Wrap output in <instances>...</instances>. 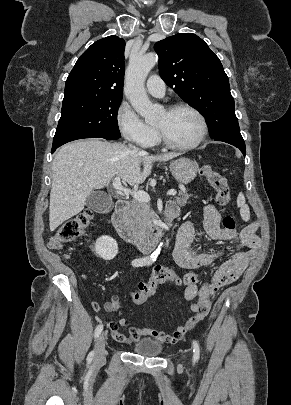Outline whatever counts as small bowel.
I'll return each mask as SVG.
<instances>
[{"instance_id": "small-bowel-1", "label": "small bowel", "mask_w": 291, "mask_h": 405, "mask_svg": "<svg viewBox=\"0 0 291 405\" xmlns=\"http://www.w3.org/2000/svg\"><path fill=\"white\" fill-rule=\"evenodd\" d=\"M221 215L211 204L204 207V229L209 238L215 242H231L233 244L232 256L221 263L211 276L207 285L199 288L197 285L186 286L184 297L188 301H195L191 305L193 315L188 321L179 326L174 333L168 334L163 331L148 329L134 322L121 318L118 323L109 322L108 328L111 336L123 344H132L142 337H152L163 343L175 344L184 335L192 330L208 314L211 299L223 286L230 284L241 277L249 262L257 253L260 241L256 235V226L251 224L239 233L235 229L229 230L220 225ZM195 227L190 221L182 224L179 229L178 239L173 250V258L176 264L184 269H196L212 264L220 253H193L189 250L194 238ZM97 310V304L93 305ZM108 313L116 312L119 308V298L113 295L111 300L104 305ZM119 326L128 327L129 334L124 335L119 331Z\"/></svg>"}]
</instances>
